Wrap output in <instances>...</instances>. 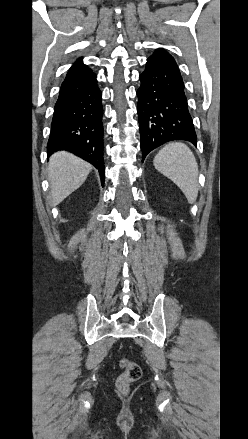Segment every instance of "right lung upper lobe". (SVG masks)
Returning a JSON list of instances; mask_svg holds the SVG:
<instances>
[{
    "instance_id": "cb5924a9",
    "label": "right lung upper lobe",
    "mask_w": 248,
    "mask_h": 439,
    "mask_svg": "<svg viewBox=\"0 0 248 439\" xmlns=\"http://www.w3.org/2000/svg\"><path fill=\"white\" fill-rule=\"evenodd\" d=\"M83 66H84V65H83V63H82V57H81V58H79V59L76 61V63L73 64V66L69 69L68 73H69V72H72V71H75V70H77V69H79V68H81V67H83Z\"/></svg>"
}]
</instances>
